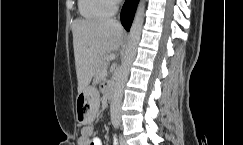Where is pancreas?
Here are the masks:
<instances>
[{
  "label": "pancreas",
  "mask_w": 243,
  "mask_h": 145,
  "mask_svg": "<svg viewBox=\"0 0 243 145\" xmlns=\"http://www.w3.org/2000/svg\"><path fill=\"white\" fill-rule=\"evenodd\" d=\"M108 62L103 59L100 64H99V68L95 74V79L96 81H100L103 76L106 74V68H107Z\"/></svg>",
  "instance_id": "1"
}]
</instances>
